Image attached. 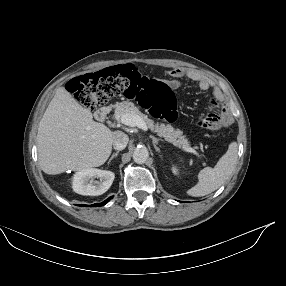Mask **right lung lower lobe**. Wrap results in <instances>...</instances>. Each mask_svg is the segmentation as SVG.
<instances>
[{"mask_svg": "<svg viewBox=\"0 0 286 286\" xmlns=\"http://www.w3.org/2000/svg\"><path fill=\"white\" fill-rule=\"evenodd\" d=\"M110 199H112V196L109 197L108 199H106L105 201H103L102 203H96V204H93V205H90V206L91 207L103 206V205L107 204ZM81 206H86V205H81Z\"/></svg>", "mask_w": 286, "mask_h": 286, "instance_id": "98d812e1", "label": "right lung lower lobe"}]
</instances>
